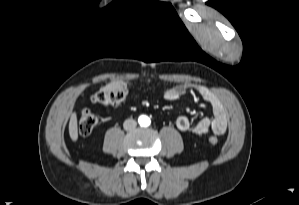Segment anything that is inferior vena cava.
I'll return each instance as SVG.
<instances>
[{"label": "inferior vena cava", "instance_id": "inferior-vena-cava-1", "mask_svg": "<svg viewBox=\"0 0 299 205\" xmlns=\"http://www.w3.org/2000/svg\"><path fill=\"white\" fill-rule=\"evenodd\" d=\"M137 125V122L133 119H127L123 123V127L125 130H133Z\"/></svg>", "mask_w": 299, "mask_h": 205}]
</instances>
